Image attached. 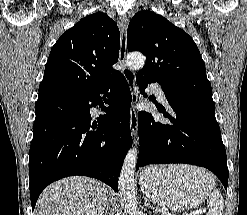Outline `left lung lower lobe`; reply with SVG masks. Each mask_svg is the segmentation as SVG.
Segmentation results:
<instances>
[{"label": "left lung lower lobe", "instance_id": "0a47b994", "mask_svg": "<svg viewBox=\"0 0 247 215\" xmlns=\"http://www.w3.org/2000/svg\"><path fill=\"white\" fill-rule=\"evenodd\" d=\"M141 94L147 84L156 82L137 73ZM175 112L163 113L171 124L155 121L151 114L141 111L138 116L140 152L137 169L148 164L186 163L212 171L227 190L228 168L225 147L215 118L213 101L176 94L162 87Z\"/></svg>", "mask_w": 247, "mask_h": 215}]
</instances>
